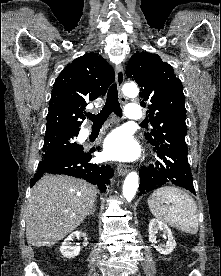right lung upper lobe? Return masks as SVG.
<instances>
[{
	"mask_svg": "<svg viewBox=\"0 0 221 276\" xmlns=\"http://www.w3.org/2000/svg\"><path fill=\"white\" fill-rule=\"evenodd\" d=\"M115 79L112 67L97 53L73 60L57 77L51 94L46 133H79L87 104L105 95Z\"/></svg>",
	"mask_w": 221,
	"mask_h": 276,
	"instance_id": "1",
	"label": "right lung upper lobe"
}]
</instances>
